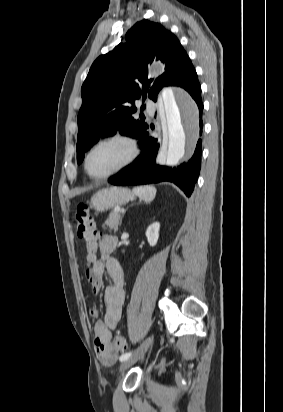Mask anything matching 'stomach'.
<instances>
[{"instance_id": "obj_1", "label": "stomach", "mask_w": 283, "mask_h": 412, "mask_svg": "<svg viewBox=\"0 0 283 412\" xmlns=\"http://www.w3.org/2000/svg\"><path fill=\"white\" fill-rule=\"evenodd\" d=\"M133 198L134 194L127 188H104L92 196L91 207L98 212H105L114 206L124 205Z\"/></svg>"}]
</instances>
